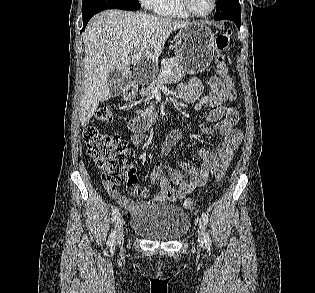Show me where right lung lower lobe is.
<instances>
[{"label":"right lung lower lobe","instance_id":"obj_1","mask_svg":"<svg viewBox=\"0 0 315 293\" xmlns=\"http://www.w3.org/2000/svg\"><path fill=\"white\" fill-rule=\"evenodd\" d=\"M141 5L132 0H82L83 29L89 19L106 9L139 10Z\"/></svg>","mask_w":315,"mask_h":293}]
</instances>
